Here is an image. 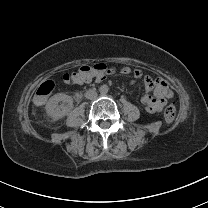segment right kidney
<instances>
[{
	"instance_id": "1",
	"label": "right kidney",
	"mask_w": 208,
	"mask_h": 208,
	"mask_svg": "<svg viewBox=\"0 0 208 208\" xmlns=\"http://www.w3.org/2000/svg\"><path fill=\"white\" fill-rule=\"evenodd\" d=\"M60 101L68 103V106L62 105L59 107L58 103ZM71 105H72V98L70 96L65 95L63 93H58L52 96L48 100L45 108L48 114L58 119L65 116L70 111Z\"/></svg>"
}]
</instances>
